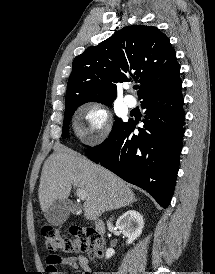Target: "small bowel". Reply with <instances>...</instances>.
Listing matches in <instances>:
<instances>
[{
  "instance_id": "obj_1",
  "label": "small bowel",
  "mask_w": 215,
  "mask_h": 274,
  "mask_svg": "<svg viewBox=\"0 0 215 274\" xmlns=\"http://www.w3.org/2000/svg\"><path fill=\"white\" fill-rule=\"evenodd\" d=\"M61 265L79 268L82 274H107L105 272H93L89 266L88 259L82 254L72 257L51 254L46 258V272H49V274H66L59 271L58 267Z\"/></svg>"
}]
</instances>
